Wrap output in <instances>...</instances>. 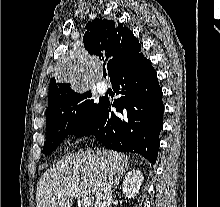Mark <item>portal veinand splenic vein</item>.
<instances>
[{"label": "portal vein and splenic vein", "instance_id": "portal-vein-and-splenic-vein-1", "mask_svg": "<svg viewBox=\"0 0 220 207\" xmlns=\"http://www.w3.org/2000/svg\"><path fill=\"white\" fill-rule=\"evenodd\" d=\"M81 202H82L83 207H89L90 204H91L90 196H83L82 199H81Z\"/></svg>", "mask_w": 220, "mask_h": 207}]
</instances>
